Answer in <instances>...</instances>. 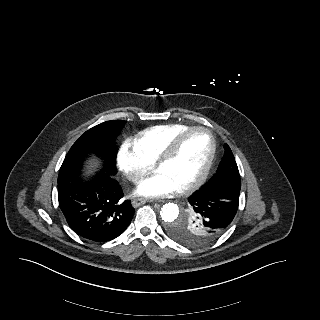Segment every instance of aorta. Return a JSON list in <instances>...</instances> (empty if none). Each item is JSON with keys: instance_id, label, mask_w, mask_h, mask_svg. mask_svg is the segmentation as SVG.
<instances>
[{"instance_id": "762f6f07", "label": "aorta", "mask_w": 320, "mask_h": 320, "mask_svg": "<svg viewBox=\"0 0 320 320\" xmlns=\"http://www.w3.org/2000/svg\"><path fill=\"white\" fill-rule=\"evenodd\" d=\"M160 215L163 221L173 222L179 215V207L174 203H167L162 206Z\"/></svg>"}]
</instances>
